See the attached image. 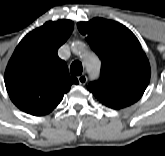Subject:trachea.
<instances>
[{
	"mask_svg": "<svg viewBox=\"0 0 165 156\" xmlns=\"http://www.w3.org/2000/svg\"><path fill=\"white\" fill-rule=\"evenodd\" d=\"M83 71L82 63L80 61H74L70 66V73L73 76L81 75Z\"/></svg>",
	"mask_w": 165,
	"mask_h": 156,
	"instance_id": "1",
	"label": "trachea"
}]
</instances>
